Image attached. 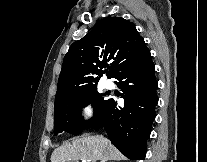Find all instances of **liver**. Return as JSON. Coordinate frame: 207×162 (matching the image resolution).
Returning a JSON list of instances; mask_svg holds the SVG:
<instances>
[{
  "label": "liver",
  "mask_w": 207,
  "mask_h": 162,
  "mask_svg": "<svg viewBox=\"0 0 207 162\" xmlns=\"http://www.w3.org/2000/svg\"><path fill=\"white\" fill-rule=\"evenodd\" d=\"M122 159V154L109 139L102 135H83L56 148L50 160L51 162H79V160L106 162Z\"/></svg>",
  "instance_id": "6515ba94"
}]
</instances>
